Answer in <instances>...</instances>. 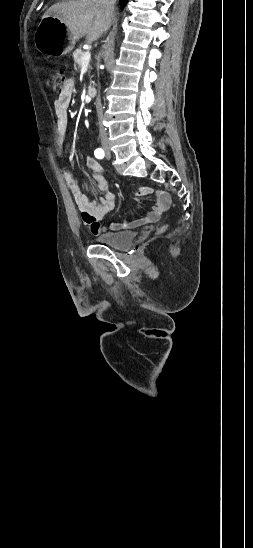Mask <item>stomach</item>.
Returning <instances> with one entry per match:
<instances>
[{
	"mask_svg": "<svg viewBox=\"0 0 253 548\" xmlns=\"http://www.w3.org/2000/svg\"><path fill=\"white\" fill-rule=\"evenodd\" d=\"M34 43L38 51L45 55L63 56L73 50L75 39L58 18L50 16L39 23Z\"/></svg>",
	"mask_w": 253,
	"mask_h": 548,
	"instance_id": "obj_1",
	"label": "stomach"
}]
</instances>
